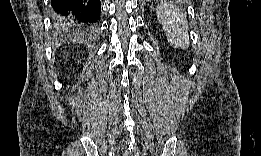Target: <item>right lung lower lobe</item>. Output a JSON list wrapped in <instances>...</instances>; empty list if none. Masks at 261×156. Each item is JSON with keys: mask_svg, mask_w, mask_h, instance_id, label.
Wrapping results in <instances>:
<instances>
[{"mask_svg": "<svg viewBox=\"0 0 261 156\" xmlns=\"http://www.w3.org/2000/svg\"><path fill=\"white\" fill-rule=\"evenodd\" d=\"M51 6L60 27H88L100 18L99 0H51Z\"/></svg>", "mask_w": 261, "mask_h": 156, "instance_id": "right-lung-lower-lobe-1", "label": "right lung lower lobe"}]
</instances>
